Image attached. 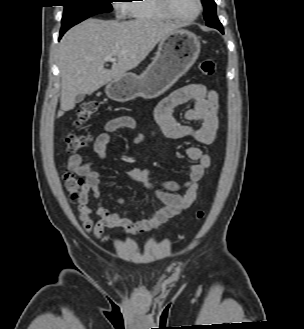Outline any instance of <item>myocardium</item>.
Instances as JSON below:
<instances>
[{
    "label": "myocardium",
    "instance_id": "myocardium-1",
    "mask_svg": "<svg viewBox=\"0 0 304 329\" xmlns=\"http://www.w3.org/2000/svg\"><path fill=\"white\" fill-rule=\"evenodd\" d=\"M158 2L160 4L162 10L165 12V14L169 18H171L173 20H177V21H182V22H190V21L196 20L201 15V13L203 12V8H204L202 0H197L198 10H197L196 14L191 17H184V16H180V15L176 14L172 10L170 0H158Z\"/></svg>",
    "mask_w": 304,
    "mask_h": 329
}]
</instances>
